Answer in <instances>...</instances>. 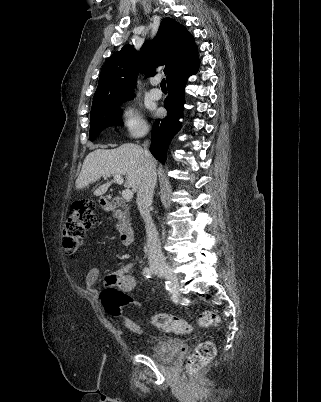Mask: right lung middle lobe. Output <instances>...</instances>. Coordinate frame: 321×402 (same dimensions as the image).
<instances>
[{
  "label": "right lung middle lobe",
  "instance_id": "obj_1",
  "mask_svg": "<svg viewBox=\"0 0 321 402\" xmlns=\"http://www.w3.org/2000/svg\"><path fill=\"white\" fill-rule=\"evenodd\" d=\"M132 96L119 98L109 104L92 107L90 113V135L91 141L95 140L99 133L106 127L122 125L120 121L122 110L119 106Z\"/></svg>",
  "mask_w": 321,
  "mask_h": 402
}]
</instances>
